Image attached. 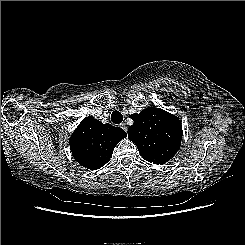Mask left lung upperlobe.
<instances>
[{
  "label": "left lung upper lobe",
  "instance_id": "obj_1",
  "mask_svg": "<svg viewBox=\"0 0 245 245\" xmlns=\"http://www.w3.org/2000/svg\"><path fill=\"white\" fill-rule=\"evenodd\" d=\"M130 118L134 124L128 128V138L146 161L164 164L177 153L182 140L178 117L160 108L149 107Z\"/></svg>",
  "mask_w": 245,
  "mask_h": 245
}]
</instances>
